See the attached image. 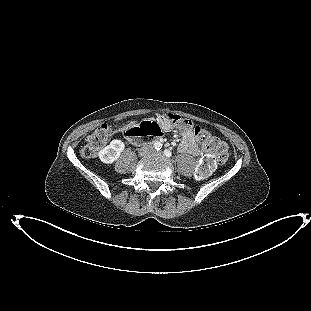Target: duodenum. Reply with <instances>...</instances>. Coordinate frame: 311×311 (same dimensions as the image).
<instances>
[{
  "label": "duodenum",
  "instance_id": "duodenum-1",
  "mask_svg": "<svg viewBox=\"0 0 311 311\" xmlns=\"http://www.w3.org/2000/svg\"><path fill=\"white\" fill-rule=\"evenodd\" d=\"M127 138L132 143H139L141 141V137L138 134H127Z\"/></svg>",
  "mask_w": 311,
  "mask_h": 311
}]
</instances>
